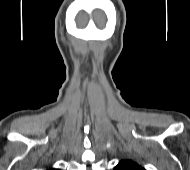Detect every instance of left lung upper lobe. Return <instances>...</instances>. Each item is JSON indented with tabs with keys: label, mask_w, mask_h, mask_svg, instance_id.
<instances>
[{
	"label": "left lung upper lobe",
	"mask_w": 190,
	"mask_h": 170,
	"mask_svg": "<svg viewBox=\"0 0 190 170\" xmlns=\"http://www.w3.org/2000/svg\"><path fill=\"white\" fill-rule=\"evenodd\" d=\"M114 170H145L143 167L131 160H122L115 166Z\"/></svg>",
	"instance_id": "left-lung-upper-lobe-1"
}]
</instances>
